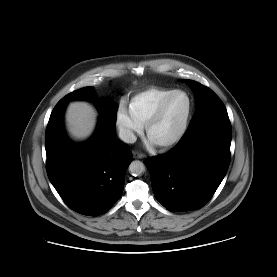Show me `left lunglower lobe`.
I'll list each match as a JSON object with an SVG mask.
<instances>
[{"label":"left lung lower lobe","instance_id":"0a47b994","mask_svg":"<svg viewBox=\"0 0 277 277\" xmlns=\"http://www.w3.org/2000/svg\"><path fill=\"white\" fill-rule=\"evenodd\" d=\"M231 138L228 114L221 112L188 127L170 152L149 158L146 167L157 200L171 212L204 206L228 170Z\"/></svg>","mask_w":277,"mask_h":277}]
</instances>
